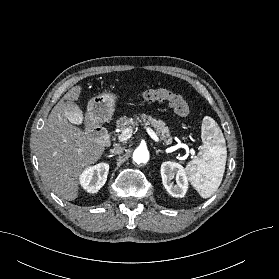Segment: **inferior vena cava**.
<instances>
[{
    "instance_id": "1",
    "label": "inferior vena cava",
    "mask_w": 279,
    "mask_h": 279,
    "mask_svg": "<svg viewBox=\"0 0 279 279\" xmlns=\"http://www.w3.org/2000/svg\"><path fill=\"white\" fill-rule=\"evenodd\" d=\"M123 151H124V148L121 147V146L118 145V144H116V145L114 146V148L110 150V152L113 153V154H121V153H123Z\"/></svg>"
}]
</instances>
